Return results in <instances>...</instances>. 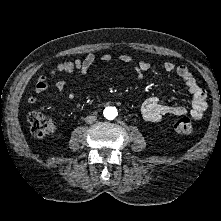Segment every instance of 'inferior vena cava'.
I'll use <instances>...</instances> for the list:
<instances>
[{
	"mask_svg": "<svg viewBox=\"0 0 221 221\" xmlns=\"http://www.w3.org/2000/svg\"><path fill=\"white\" fill-rule=\"evenodd\" d=\"M96 119H97L96 116H94V115H89V116H87V117L85 118V122H86V123H93V122L96 121Z\"/></svg>",
	"mask_w": 221,
	"mask_h": 221,
	"instance_id": "602c4592",
	"label": "inferior vena cava"
}]
</instances>
